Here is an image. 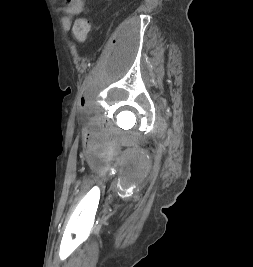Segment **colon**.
<instances>
[{"instance_id": "colon-1", "label": "colon", "mask_w": 253, "mask_h": 267, "mask_svg": "<svg viewBox=\"0 0 253 267\" xmlns=\"http://www.w3.org/2000/svg\"><path fill=\"white\" fill-rule=\"evenodd\" d=\"M74 38L78 42H84L91 31V21L88 18H78L72 26Z\"/></svg>"}]
</instances>
